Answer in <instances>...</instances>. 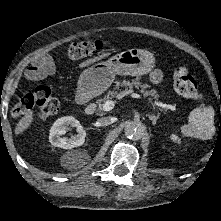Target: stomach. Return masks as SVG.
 Returning <instances> with one entry per match:
<instances>
[{
	"mask_svg": "<svg viewBox=\"0 0 221 221\" xmlns=\"http://www.w3.org/2000/svg\"><path fill=\"white\" fill-rule=\"evenodd\" d=\"M155 66L154 55L146 49H129L85 69L79 77L77 92L84 100L106 91L115 75L142 76Z\"/></svg>",
	"mask_w": 221,
	"mask_h": 221,
	"instance_id": "obj_1",
	"label": "stomach"
}]
</instances>
